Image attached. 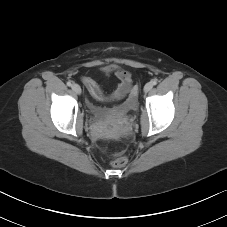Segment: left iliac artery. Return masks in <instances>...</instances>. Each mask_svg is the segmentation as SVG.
Returning <instances> with one entry per match:
<instances>
[{
    "mask_svg": "<svg viewBox=\"0 0 227 227\" xmlns=\"http://www.w3.org/2000/svg\"><path fill=\"white\" fill-rule=\"evenodd\" d=\"M151 83H152L153 85H156V84L158 83V81H157L156 79H154V80L151 81Z\"/></svg>",
    "mask_w": 227,
    "mask_h": 227,
    "instance_id": "left-iliac-artery-1",
    "label": "left iliac artery"
}]
</instances>
